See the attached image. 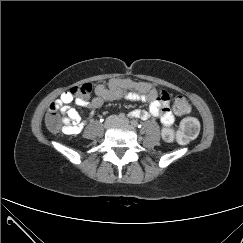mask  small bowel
<instances>
[{"instance_id": "1", "label": "small bowel", "mask_w": 243, "mask_h": 243, "mask_svg": "<svg viewBox=\"0 0 243 243\" xmlns=\"http://www.w3.org/2000/svg\"><path fill=\"white\" fill-rule=\"evenodd\" d=\"M125 98L130 101H138L149 104V110L134 109L129 113L131 118L147 120L150 117H158L165 128L174 124L175 118L169 108V94L165 91H158L148 82L135 81L132 79H110L105 87L98 86L95 90V97L85 100L73 96L70 91L64 92L55 101L59 106L62 115V132L66 135L79 134L84 123L77 110L70 106L74 102L77 106L97 109L106 101H115Z\"/></svg>"}]
</instances>
